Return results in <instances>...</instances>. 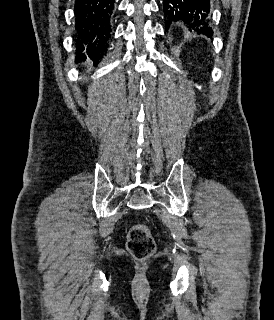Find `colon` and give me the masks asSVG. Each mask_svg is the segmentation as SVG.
Returning a JSON list of instances; mask_svg holds the SVG:
<instances>
[{
	"instance_id": "5ec220e1",
	"label": "colon",
	"mask_w": 274,
	"mask_h": 320,
	"mask_svg": "<svg viewBox=\"0 0 274 320\" xmlns=\"http://www.w3.org/2000/svg\"><path fill=\"white\" fill-rule=\"evenodd\" d=\"M127 248L137 260H145L155 251V241L150 230L145 224H135L129 231Z\"/></svg>"
}]
</instances>
